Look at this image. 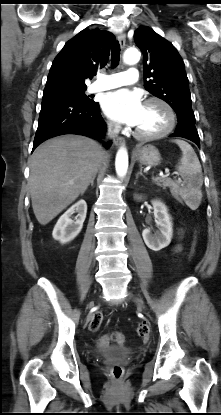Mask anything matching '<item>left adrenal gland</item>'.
I'll return each mask as SVG.
<instances>
[{
	"label": "left adrenal gland",
	"instance_id": "left-adrenal-gland-1",
	"mask_svg": "<svg viewBox=\"0 0 221 415\" xmlns=\"http://www.w3.org/2000/svg\"><path fill=\"white\" fill-rule=\"evenodd\" d=\"M139 175L143 176V174H142V167H140V172H138L136 174V179H138Z\"/></svg>",
	"mask_w": 221,
	"mask_h": 415
}]
</instances>
